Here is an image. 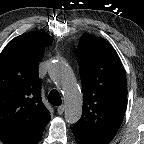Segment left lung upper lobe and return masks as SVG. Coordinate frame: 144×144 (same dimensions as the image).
Wrapping results in <instances>:
<instances>
[{
	"label": "left lung upper lobe",
	"instance_id": "left-lung-upper-lobe-1",
	"mask_svg": "<svg viewBox=\"0 0 144 144\" xmlns=\"http://www.w3.org/2000/svg\"><path fill=\"white\" fill-rule=\"evenodd\" d=\"M83 86V111L72 131L86 141L109 144L127 104L126 76L115 50L104 39L84 34L76 51Z\"/></svg>",
	"mask_w": 144,
	"mask_h": 144
}]
</instances>
